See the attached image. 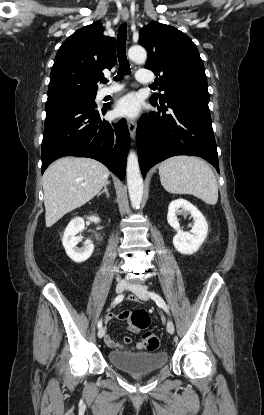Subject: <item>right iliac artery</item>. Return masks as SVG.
Here are the masks:
<instances>
[{
	"label": "right iliac artery",
	"mask_w": 264,
	"mask_h": 415,
	"mask_svg": "<svg viewBox=\"0 0 264 415\" xmlns=\"http://www.w3.org/2000/svg\"><path fill=\"white\" fill-rule=\"evenodd\" d=\"M123 298H124V295H119V296H117V297L115 298V300H114L113 304L115 305V304L120 303V302L123 300ZM97 327H98V329H100V328L102 327V319H100V320L98 321V323H97Z\"/></svg>",
	"instance_id": "82829eb1"
}]
</instances>
